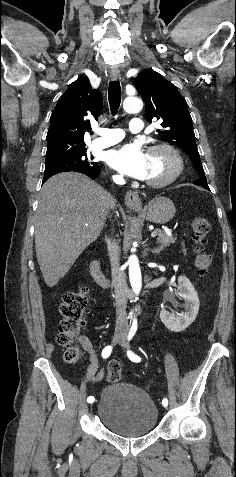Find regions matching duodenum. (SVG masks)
<instances>
[{
	"label": "duodenum",
	"instance_id": "410a0bca",
	"mask_svg": "<svg viewBox=\"0 0 236 477\" xmlns=\"http://www.w3.org/2000/svg\"><path fill=\"white\" fill-rule=\"evenodd\" d=\"M90 272L95 281L102 287H109V280L106 277L100 263L97 260H93L90 263Z\"/></svg>",
	"mask_w": 236,
	"mask_h": 477
}]
</instances>
